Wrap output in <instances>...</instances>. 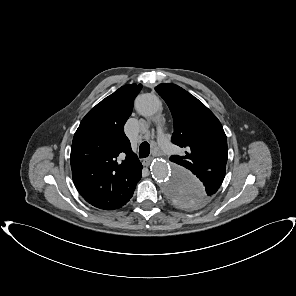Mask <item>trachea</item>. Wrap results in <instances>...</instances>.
Listing matches in <instances>:
<instances>
[{"label": "trachea", "instance_id": "obj_1", "mask_svg": "<svg viewBox=\"0 0 296 296\" xmlns=\"http://www.w3.org/2000/svg\"><path fill=\"white\" fill-rule=\"evenodd\" d=\"M150 154V145L148 142L141 143L139 147V157L140 158H146Z\"/></svg>", "mask_w": 296, "mask_h": 296}]
</instances>
